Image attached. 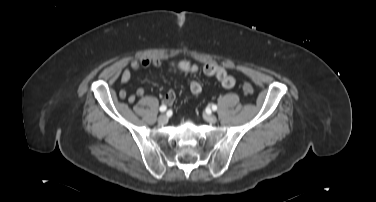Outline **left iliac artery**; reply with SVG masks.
I'll return each instance as SVG.
<instances>
[{
  "instance_id": "obj_1",
  "label": "left iliac artery",
  "mask_w": 376,
  "mask_h": 202,
  "mask_svg": "<svg viewBox=\"0 0 376 202\" xmlns=\"http://www.w3.org/2000/svg\"><path fill=\"white\" fill-rule=\"evenodd\" d=\"M211 108H212L213 111H216V110H217V106H216V105H212Z\"/></svg>"
}]
</instances>
